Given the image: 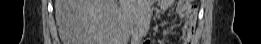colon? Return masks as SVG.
Here are the masks:
<instances>
[{"label":"colon","mask_w":261,"mask_h":44,"mask_svg":"<svg viewBox=\"0 0 261 44\" xmlns=\"http://www.w3.org/2000/svg\"><path fill=\"white\" fill-rule=\"evenodd\" d=\"M178 5L181 6L182 8H184L183 6H191L192 2L191 1H179Z\"/></svg>","instance_id":"5ec220e1"}]
</instances>
